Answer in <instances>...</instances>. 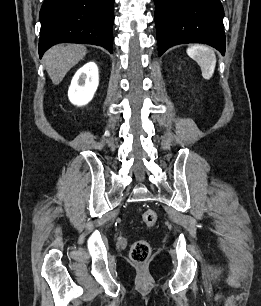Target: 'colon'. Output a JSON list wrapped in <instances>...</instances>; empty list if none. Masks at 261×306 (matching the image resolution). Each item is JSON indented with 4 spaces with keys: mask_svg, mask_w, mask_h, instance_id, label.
<instances>
[{
    "mask_svg": "<svg viewBox=\"0 0 261 306\" xmlns=\"http://www.w3.org/2000/svg\"><path fill=\"white\" fill-rule=\"evenodd\" d=\"M142 221L146 227H154L157 223V214L152 209H146L142 213ZM150 245L146 240L140 239L133 243L130 256L133 262L143 264L150 256Z\"/></svg>",
    "mask_w": 261,
    "mask_h": 306,
    "instance_id": "colon-1",
    "label": "colon"
}]
</instances>
